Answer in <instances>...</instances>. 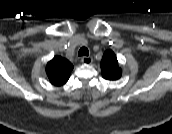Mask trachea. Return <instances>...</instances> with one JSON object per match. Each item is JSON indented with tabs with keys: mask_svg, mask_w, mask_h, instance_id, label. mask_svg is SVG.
I'll return each mask as SVG.
<instances>
[{
	"mask_svg": "<svg viewBox=\"0 0 172 134\" xmlns=\"http://www.w3.org/2000/svg\"><path fill=\"white\" fill-rule=\"evenodd\" d=\"M88 55H89V51L86 47H82L78 52V56H88Z\"/></svg>",
	"mask_w": 172,
	"mask_h": 134,
	"instance_id": "1",
	"label": "trachea"
}]
</instances>
